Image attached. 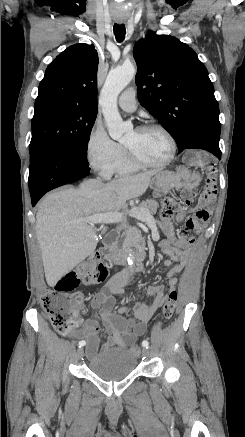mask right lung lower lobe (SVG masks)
Here are the masks:
<instances>
[{"mask_svg": "<svg viewBox=\"0 0 245 437\" xmlns=\"http://www.w3.org/2000/svg\"><path fill=\"white\" fill-rule=\"evenodd\" d=\"M87 158L46 150L30 160L28 185L32 206L48 191L75 182L90 172Z\"/></svg>", "mask_w": 245, "mask_h": 437, "instance_id": "98d812e1", "label": "right lung lower lobe"}]
</instances>
